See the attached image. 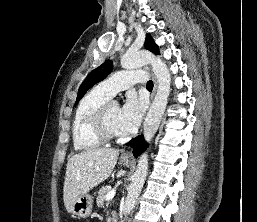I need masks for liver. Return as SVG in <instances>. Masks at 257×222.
<instances>
[{
  "mask_svg": "<svg viewBox=\"0 0 257 222\" xmlns=\"http://www.w3.org/2000/svg\"><path fill=\"white\" fill-rule=\"evenodd\" d=\"M119 155L117 149H89L67 162L63 200L71 213L75 199L105 181L112 173Z\"/></svg>",
  "mask_w": 257,
  "mask_h": 222,
  "instance_id": "6515ba94",
  "label": "liver"
}]
</instances>
